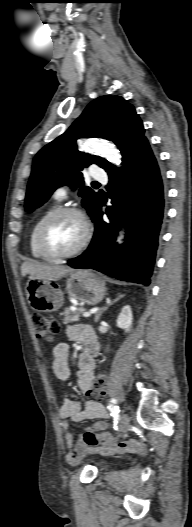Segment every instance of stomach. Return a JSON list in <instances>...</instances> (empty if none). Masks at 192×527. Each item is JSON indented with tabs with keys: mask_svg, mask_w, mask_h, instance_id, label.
<instances>
[{
	"mask_svg": "<svg viewBox=\"0 0 192 527\" xmlns=\"http://www.w3.org/2000/svg\"><path fill=\"white\" fill-rule=\"evenodd\" d=\"M105 291L104 281L92 270L81 269L71 272L66 281V292L69 297L81 303L95 305L104 298ZM26 292L30 306L36 311L54 312L64 303V293L50 280L30 277Z\"/></svg>",
	"mask_w": 192,
	"mask_h": 527,
	"instance_id": "0dacf381",
	"label": "stomach"
}]
</instances>
